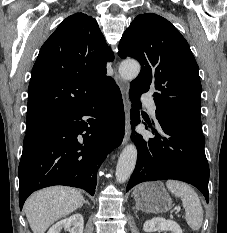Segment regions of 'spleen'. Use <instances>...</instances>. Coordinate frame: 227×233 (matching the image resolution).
<instances>
[{
	"label": "spleen",
	"mask_w": 227,
	"mask_h": 233,
	"mask_svg": "<svg viewBox=\"0 0 227 233\" xmlns=\"http://www.w3.org/2000/svg\"><path fill=\"white\" fill-rule=\"evenodd\" d=\"M166 187L176 197L181 198L189 227L194 231L199 230L203 222V209L195 190L190 185L177 180H168Z\"/></svg>",
	"instance_id": "3e777b00"
}]
</instances>
